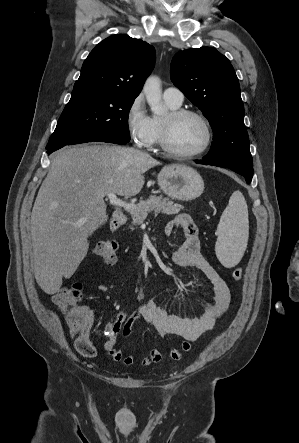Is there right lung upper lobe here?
I'll use <instances>...</instances> for the list:
<instances>
[{
    "instance_id": "1",
    "label": "right lung upper lobe",
    "mask_w": 299,
    "mask_h": 443,
    "mask_svg": "<svg viewBox=\"0 0 299 443\" xmlns=\"http://www.w3.org/2000/svg\"><path fill=\"white\" fill-rule=\"evenodd\" d=\"M154 63L153 46L124 34L112 35L85 59L73 91L101 90L136 98Z\"/></svg>"
}]
</instances>
